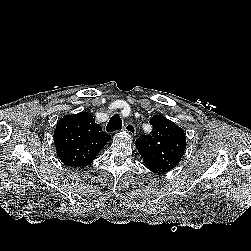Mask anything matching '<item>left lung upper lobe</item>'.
<instances>
[{
    "instance_id": "1",
    "label": "left lung upper lobe",
    "mask_w": 251,
    "mask_h": 251,
    "mask_svg": "<svg viewBox=\"0 0 251 251\" xmlns=\"http://www.w3.org/2000/svg\"><path fill=\"white\" fill-rule=\"evenodd\" d=\"M153 130L141 135L136 147L146 167L162 174L178 165L186 149V136L182 128L163 115H155L149 121Z\"/></svg>"
}]
</instances>
